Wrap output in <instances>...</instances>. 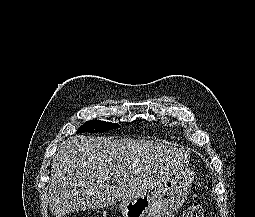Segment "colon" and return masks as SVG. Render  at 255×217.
Masks as SVG:
<instances>
[{
  "instance_id": "1",
  "label": "colon",
  "mask_w": 255,
  "mask_h": 217,
  "mask_svg": "<svg viewBox=\"0 0 255 217\" xmlns=\"http://www.w3.org/2000/svg\"><path fill=\"white\" fill-rule=\"evenodd\" d=\"M182 217H204V209L201 204L197 201V198H194L192 203L183 213Z\"/></svg>"
}]
</instances>
